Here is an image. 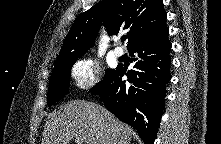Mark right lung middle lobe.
<instances>
[{
	"mask_svg": "<svg viewBox=\"0 0 221 144\" xmlns=\"http://www.w3.org/2000/svg\"><path fill=\"white\" fill-rule=\"evenodd\" d=\"M75 62L76 61H71L54 67L47 93L48 106H51L61 100L67 94L71 68ZM112 71L113 69L106 70L103 81L111 75ZM102 82L96 84L93 88H91V90L96 89Z\"/></svg>",
	"mask_w": 221,
	"mask_h": 144,
	"instance_id": "obj_1",
	"label": "right lung middle lobe"
}]
</instances>
